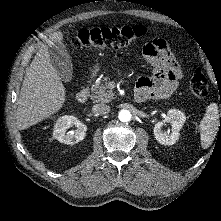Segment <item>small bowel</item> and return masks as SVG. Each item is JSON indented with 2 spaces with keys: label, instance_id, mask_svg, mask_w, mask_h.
I'll use <instances>...</instances> for the list:
<instances>
[{
  "label": "small bowel",
  "instance_id": "c3829d8e",
  "mask_svg": "<svg viewBox=\"0 0 221 221\" xmlns=\"http://www.w3.org/2000/svg\"><path fill=\"white\" fill-rule=\"evenodd\" d=\"M143 55L152 64L155 73L151 77L140 78L136 83L135 93L144 95L146 99L170 97L178 88L182 71L168 43L161 38L154 39L144 46Z\"/></svg>",
  "mask_w": 221,
  "mask_h": 221
}]
</instances>
